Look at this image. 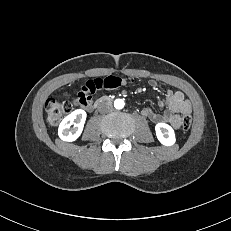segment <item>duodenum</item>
<instances>
[{
	"mask_svg": "<svg viewBox=\"0 0 231 231\" xmlns=\"http://www.w3.org/2000/svg\"><path fill=\"white\" fill-rule=\"evenodd\" d=\"M108 100H109V98L106 97V96L101 97V98H99V99L95 102L94 107H97V106H99V105H101V104L107 102Z\"/></svg>",
	"mask_w": 231,
	"mask_h": 231,
	"instance_id": "duodenum-1",
	"label": "duodenum"
}]
</instances>
